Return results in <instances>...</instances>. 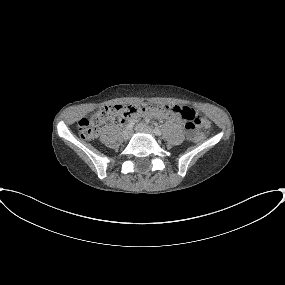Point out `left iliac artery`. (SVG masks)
Instances as JSON below:
<instances>
[{
	"instance_id": "obj_1",
	"label": "left iliac artery",
	"mask_w": 285,
	"mask_h": 285,
	"mask_svg": "<svg viewBox=\"0 0 285 285\" xmlns=\"http://www.w3.org/2000/svg\"><path fill=\"white\" fill-rule=\"evenodd\" d=\"M153 132L158 136H160L162 134L161 130L159 128H156V127L153 129Z\"/></svg>"
}]
</instances>
